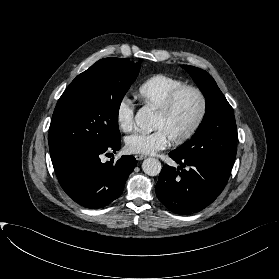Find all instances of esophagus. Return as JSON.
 I'll list each match as a JSON object with an SVG mask.
<instances>
[{
	"mask_svg": "<svg viewBox=\"0 0 279 279\" xmlns=\"http://www.w3.org/2000/svg\"><path fill=\"white\" fill-rule=\"evenodd\" d=\"M135 158H136V160H143L146 158V156L138 154V155H135Z\"/></svg>",
	"mask_w": 279,
	"mask_h": 279,
	"instance_id": "34e87169",
	"label": "esophagus"
}]
</instances>
